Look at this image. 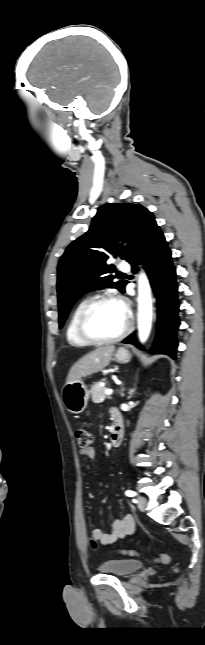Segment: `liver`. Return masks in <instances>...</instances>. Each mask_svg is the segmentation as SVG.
Here are the masks:
<instances>
[{
    "instance_id": "liver-1",
    "label": "liver",
    "mask_w": 205,
    "mask_h": 645,
    "mask_svg": "<svg viewBox=\"0 0 205 645\" xmlns=\"http://www.w3.org/2000/svg\"><path fill=\"white\" fill-rule=\"evenodd\" d=\"M115 346H102L80 358L70 369L67 383L97 373L110 363Z\"/></svg>"
}]
</instances>
